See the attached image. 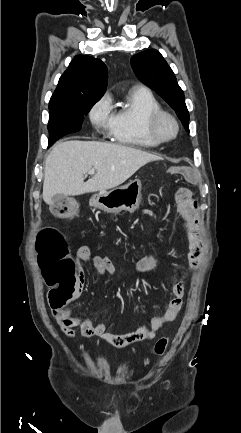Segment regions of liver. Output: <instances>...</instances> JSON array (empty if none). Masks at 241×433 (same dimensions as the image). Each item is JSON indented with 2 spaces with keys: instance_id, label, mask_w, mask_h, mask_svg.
Instances as JSON below:
<instances>
[{
  "instance_id": "obj_1",
  "label": "liver",
  "mask_w": 241,
  "mask_h": 433,
  "mask_svg": "<svg viewBox=\"0 0 241 433\" xmlns=\"http://www.w3.org/2000/svg\"><path fill=\"white\" fill-rule=\"evenodd\" d=\"M160 159L123 145L95 141L60 142L45 161L43 200L50 204L56 194L76 196L113 189L142 166ZM92 169L96 174L84 182V175Z\"/></svg>"
}]
</instances>
